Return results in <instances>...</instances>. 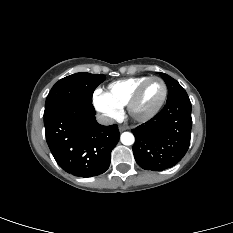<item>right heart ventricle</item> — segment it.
Listing matches in <instances>:
<instances>
[{
	"instance_id": "e07e8e85",
	"label": "right heart ventricle",
	"mask_w": 233,
	"mask_h": 233,
	"mask_svg": "<svg viewBox=\"0 0 233 233\" xmlns=\"http://www.w3.org/2000/svg\"><path fill=\"white\" fill-rule=\"evenodd\" d=\"M147 78L143 76L115 81L109 84L103 93L110 103L121 109L127 105L135 89Z\"/></svg>"
}]
</instances>
